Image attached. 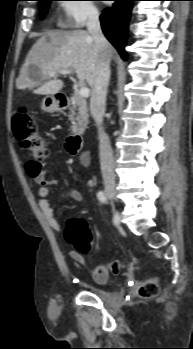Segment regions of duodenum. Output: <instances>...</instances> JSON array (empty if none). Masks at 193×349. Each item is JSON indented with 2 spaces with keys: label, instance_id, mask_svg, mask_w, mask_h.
<instances>
[{
  "label": "duodenum",
  "instance_id": "410a0bca",
  "mask_svg": "<svg viewBox=\"0 0 193 349\" xmlns=\"http://www.w3.org/2000/svg\"><path fill=\"white\" fill-rule=\"evenodd\" d=\"M57 102L61 107H67L70 103L69 97H58ZM83 143V137L80 134L71 135L66 142V148L71 155H78Z\"/></svg>",
  "mask_w": 193,
  "mask_h": 349
}]
</instances>
